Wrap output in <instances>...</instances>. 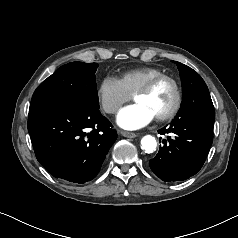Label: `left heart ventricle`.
I'll use <instances>...</instances> for the list:
<instances>
[{
	"instance_id": "left-heart-ventricle-1",
	"label": "left heart ventricle",
	"mask_w": 238,
	"mask_h": 238,
	"mask_svg": "<svg viewBox=\"0 0 238 238\" xmlns=\"http://www.w3.org/2000/svg\"><path fill=\"white\" fill-rule=\"evenodd\" d=\"M174 101L175 91L169 81H163L150 93L135 98L136 103L143 104L155 117L167 113L172 108Z\"/></svg>"
}]
</instances>
